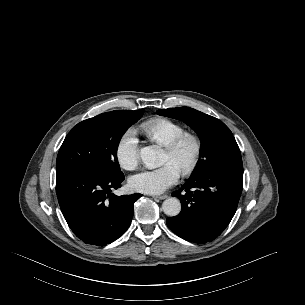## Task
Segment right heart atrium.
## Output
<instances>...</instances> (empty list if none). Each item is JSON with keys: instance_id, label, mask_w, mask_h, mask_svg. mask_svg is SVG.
<instances>
[{"instance_id": "right-heart-atrium-1", "label": "right heart atrium", "mask_w": 305, "mask_h": 305, "mask_svg": "<svg viewBox=\"0 0 305 305\" xmlns=\"http://www.w3.org/2000/svg\"><path fill=\"white\" fill-rule=\"evenodd\" d=\"M115 156L118 164L125 170H133L140 159L139 144L133 130L126 131L118 140L115 147Z\"/></svg>"}]
</instances>
